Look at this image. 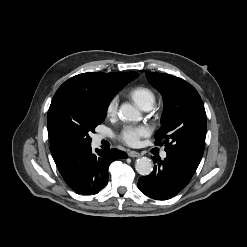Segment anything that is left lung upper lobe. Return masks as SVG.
<instances>
[{"label": "left lung upper lobe", "mask_w": 247, "mask_h": 247, "mask_svg": "<svg viewBox=\"0 0 247 247\" xmlns=\"http://www.w3.org/2000/svg\"><path fill=\"white\" fill-rule=\"evenodd\" d=\"M146 77L164 99L155 144L164 139L166 153L200 162L205 146L206 112L198 92L188 82L170 74L147 72Z\"/></svg>", "instance_id": "5c2ea615"}]
</instances>
